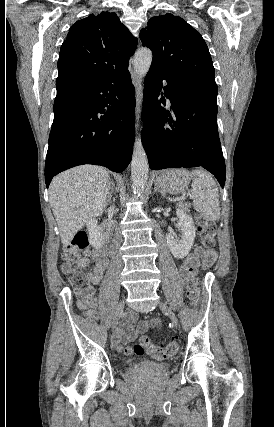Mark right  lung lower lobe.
I'll return each instance as SVG.
<instances>
[{"label": "right lung lower lobe", "instance_id": "obj_1", "mask_svg": "<svg viewBox=\"0 0 274 427\" xmlns=\"http://www.w3.org/2000/svg\"><path fill=\"white\" fill-rule=\"evenodd\" d=\"M135 90L129 71L82 94L54 102L45 181L83 164L122 172L135 139ZM103 114V115H101Z\"/></svg>", "mask_w": 274, "mask_h": 427}]
</instances>
